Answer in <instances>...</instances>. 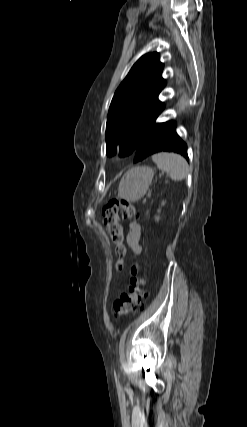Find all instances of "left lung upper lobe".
Instances as JSON below:
<instances>
[{
    "instance_id": "left-lung-upper-lobe-1",
    "label": "left lung upper lobe",
    "mask_w": 247,
    "mask_h": 427,
    "mask_svg": "<svg viewBox=\"0 0 247 427\" xmlns=\"http://www.w3.org/2000/svg\"><path fill=\"white\" fill-rule=\"evenodd\" d=\"M163 64L158 53L142 56L117 88L112 99L106 125V153L120 156L136 149L148 128L164 109L158 95L165 87Z\"/></svg>"
}]
</instances>
